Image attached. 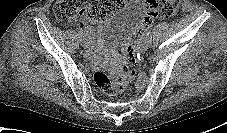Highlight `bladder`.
Instances as JSON below:
<instances>
[{"instance_id": "bladder-1", "label": "bladder", "mask_w": 227, "mask_h": 133, "mask_svg": "<svg viewBox=\"0 0 227 133\" xmlns=\"http://www.w3.org/2000/svg\"><path fill=\"white\" fill-rule=\"evenodd\" d=\"M142 16L138 3H130L109 20L99 34V44L108 49L122 47L133 35Z\"/></svg>"}]
</instances>
